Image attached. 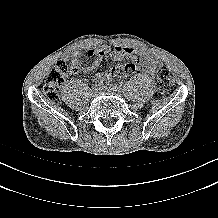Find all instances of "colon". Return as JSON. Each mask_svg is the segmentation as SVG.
Here are the masks:
<instances>
[{"instance_id":"1","label":"colon","mask_w":218,"mask_h":218,"mask_svg":"<svg viewBox=\"0 0 218 218\" xmlns=\"http://www.w3.org/2000/svg\"><path fill=\"white\" fill-rule=\"evenodd\" d=\"M123 66L116 65L112 67L111 73L120 76L123 73ZM69 66L64 61L57 62L48 74L43 86L45 96L52 102L60 99V87L64 83ZM156 89L153 94V102L161 101L169 92L171 86V76L169 70L165 66L158 67L156 71Z\"/></svg>"}]
</instances>
